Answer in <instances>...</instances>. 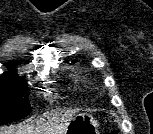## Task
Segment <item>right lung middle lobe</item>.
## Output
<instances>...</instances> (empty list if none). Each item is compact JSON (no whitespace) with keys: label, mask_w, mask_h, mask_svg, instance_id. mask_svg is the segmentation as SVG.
Wrapping results in <instances>:
<instances>
[{"label":"right lung middle lobe","mask_w":153,"mask_h":134,"mask_svg":"<svg viewBox=\"0 0 153 134\" xmlns=\"http://www.w3.org/2000/svg\"><path fill=\"white\" fill-rule=\"evenodd\" d=\"M28 87L23 78L0 79V125L30 114Z\"/></svg>","instance_id":"right-lung-middle-lobe-1"}]
</instances>
